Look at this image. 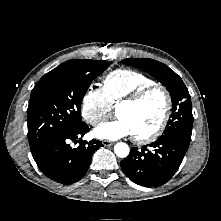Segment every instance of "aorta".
Wrapping results in <instances>:
<instances>
[{
    "label": "aorta",
    "instance_id": "762f6f07",
    "mask_svg": "<svg viewBox=\"0 0 221 221\" xmlns=\"http://www.w3.org/2000/svg\"><path fill=\"white\" fill-rule=\"evenodd\" d=\"M114 151L118 157L124 158L128 156L130 149L126 143L120 142L114 146Z\"/></svg>",
    "mask_w": 221,
    "mask_h": 221
}]
</instances>
